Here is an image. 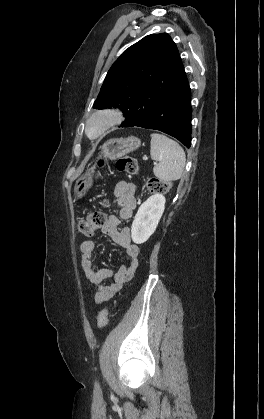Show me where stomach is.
Returning a JSON list of instances; mask_svg holds the SVG:
<instances>
[{
    "label": "stomach",
    "mask_w": 264,
    "mask_h": 419,
    "mask_svg": "<svg viewBox=\"0 0 264 419\" xmlns=\"http://www.w3.org/2000/svg\"><path fill=\"white\" fill-rule=\"evenodd\" d=\"M140 146V139L134 136L127 138H112L103 144L100 158L113 160L136 150ZM95 169L96 164L76 180L74 185V195L77 199H81L83 196H85V194L91 188L93 184Z\"/></svg>",
    "instance_id": "stomach-1"
}]
</instances>
